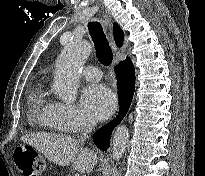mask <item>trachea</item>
Here are the masks:
<instances>
[{"instance_id": "trachea-1", "label": "trachea", "mask_w": 205, "mask_h": 176, "mask_svg": "<svg viewBox=\"0 0 205 176\" xmlns=\"http://www.w3.org/2000/svg\"><path fill=\"white\" fill-rule=\"evenodd\" d=\"M88 30L96 48L98 60L105 66L112 64L113 54L102 25L97 21L88 23Z\"/></svg>"}]
</instances>
